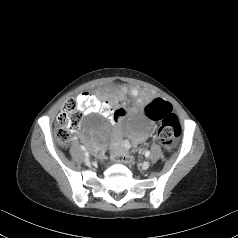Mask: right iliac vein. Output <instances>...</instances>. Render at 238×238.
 Instances as JSON below:
<instances>
[{
	"label": "right iliac vein",
	"instance_id": "right-iliac-vein-1",
	"mask_svg": "<svg viewBox=\"0 0 238 238\" xmlns=\"http://www.w3.org/2000/svg\"><path fill=\"white\" fill-rule=\"evenodd\" d=\"M84 162H85L86 164H89V163H90V161H89V159H88L87 157H85Z\"/></svg>",
	"mask_w": 238,
	"mask_h": 238
}]
</instances>
